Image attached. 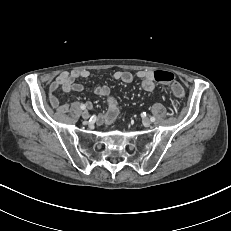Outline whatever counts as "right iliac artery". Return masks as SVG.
Instances as JSON below:
<instances>
[{"mask_svg":"<svg viewBox=\"0 0 231 231\" xmlns=\"http://www.w3.org/2000/svg\"><path fill=\"white\" fill-rule=\"evenodd\" d=\"M80 108H81L82 110H84V109H86V106H85L84 104H82V105L80 106Z\"/></svg>","mask_w":231,"mask_h":231,"instance_id":"1","label":"right iliac artery"}]
</instances>
